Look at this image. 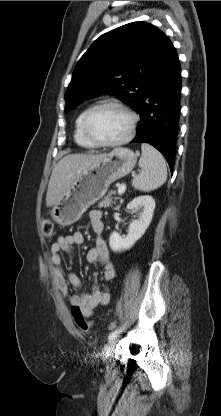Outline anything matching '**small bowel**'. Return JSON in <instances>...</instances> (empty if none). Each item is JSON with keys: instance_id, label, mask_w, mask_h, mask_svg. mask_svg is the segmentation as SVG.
Wrapping results in <instances>:
<instances>
[{"instance_id": "c3829d8e", "label": "small bowel", "mask_w": 221, "mask_h": 416, "mask_svg": "<svg viewBox=\"0 0 221 416\" xmlns=\"http://www.w3.org/2000/svg\"><path fill=\"white\" fill-rule=\"evenodd\" d=\"M89 223L93 232L96 234L95 245L88 251L86 259L90 263H99L102 267V275L106 281L115 277V268L111 260V256L105 241L101 235L104 230L102 221V212L99 210H91L88 214ZM84 242V234L81 231H75L67 236H59L51 247V269L50 277L54 287L60 294L68 299L70 305L78 306L84 316L90 317L95 308L100 305H107L111 300L109 291L93 287L91 292L87 293L83 290L81 279L75 273L64 274L62 269L61 251H69L72 246L80 245ZM69 284H71L78 292L76 294L69 293Z\"/></svg>"}]
</instances>
